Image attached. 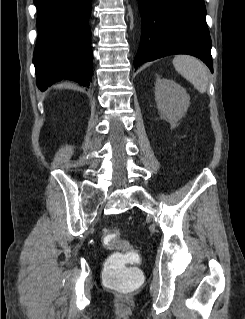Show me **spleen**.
Listing matches in <instances>:
<instances>
[{"instance_id":"spleen-1","label":"spleen","mask_w":245,"mask_h":319,"mask_svg":"<svg viewBox=\"0 0 245 319\" xmlns=\"http://www.w3.org/2000/svg\"><path fill=\"white\" fill-rule=\"evenodd\" d=\"M173 65L176 71L192 83L200 93L206 92L208 73L203 62L190 55H177L173 59Z\"/></svg>"}]
</instances>
